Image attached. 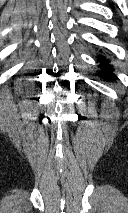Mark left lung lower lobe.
<instances>
[{"mask_svg": "<svg viewBox=\"0 0 128 213\" xmlns=\"http://www.w3.org/2000/svg\"><path fill=\"white\" fill-rule=\"evenodd\" d=\"M99 62H101V66H105L108 64V60L105 58L99 57L98 59ZM113 72L111 66H107L105 69L102 70L101 74L107 78L110 77L111 73Z\"/></svg>", "mask_w": 128, "mask_h": 213, "instance_id": "1", "label": "left lung lower lobe"}]
</instances>
